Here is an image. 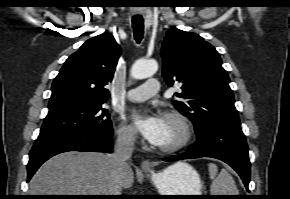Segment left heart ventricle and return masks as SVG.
<instances>
[{
    "label": "left heart ventricle",
    "mask_w": 290,
    "mask_h": 199,
    "mask_svg": "<svg viewBox=\"0 0 290 199\" xmlns=\"http://www.w3.org/2000/svg\"><path fill=\"white\" fill-rule=\"evenodd\" d=\"M182 138V129L174 120L163 117V128L158 142L159 147L171 146Z\"/></svg>",
    "instance_id": "obj_1"
}]
</instances>
